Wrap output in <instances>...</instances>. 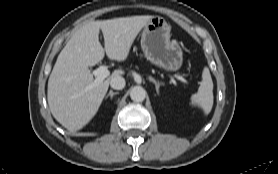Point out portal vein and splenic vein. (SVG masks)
I'll return each instance as SVG.
<instances>
[{"label":"portal vein and splenic vein","mask_w":278,"mask_h":174,"mask_svg":"<svg viewBox=\"0 0 278 174\" xmlns=\"http://www.w3.org/2000/svg\"><path fill=\"white\" fill-rule=\"evenodd\" d=\"M93 74L96 77V79L91 85H89V88H94L98 86L105 78H107L110 75V72L107 66L102 65L96 70H94ZM174 77L185 84H189V82L186 79H184L182 76L174 75Z\"/></svg>","instance_id":"18ae733b"}]
</instances>
